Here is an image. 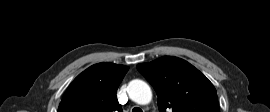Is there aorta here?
<instances>
[{"label":"aorta","instance_id":"1","mask_svg":"<svg viewBox=\"0 0 270 112\" xmlns=\"http://www.w3.org/2000/svg\"><path fill=\"white\" fill-rule=\"evenodd\" d=\"M129 97L140 105L148 104L152 99V91L149 85L139 79L132 80L127 88Z\"/></svg>","mask_w":270,"mask_h":112}]
</instances>
